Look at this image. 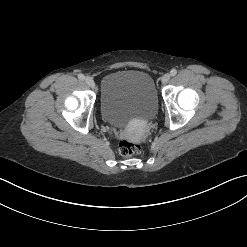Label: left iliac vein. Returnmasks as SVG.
<instances>
[{"mask_svg":"<svg viewBox=\"0 0 247 247\" xmlns=\"http://www.w3.org/2000/svg\"><path fill=\"white\" fill-rule=\"evenodd\" d=\"M170 77H171V76H170L169 73L164 74L163 77H162V79H161L162 83H163V84L168 83V81L170 80Z\"/></svg>","mask_w":247,"mask_h":247,"instance_id":"obj_1","label":"left iliac vein"}]
</instances>
